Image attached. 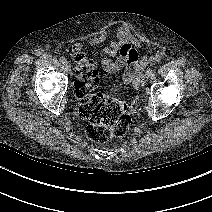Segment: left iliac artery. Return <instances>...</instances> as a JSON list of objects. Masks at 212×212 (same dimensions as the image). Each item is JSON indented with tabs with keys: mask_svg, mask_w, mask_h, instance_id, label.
Masks as SVG:
<instances>
[{
	"mask_svg": "<svg viewBox=\"0 0 212 212\" xmlns=\"http://www.w3.org/2000/svg\"><path fill=\"white\" fill-rule=\"evenodd\" d=\"M146 75H148L149 77L153 78L154 77V72L151 69H148L146 71Z\"/></svg>",
	"mask_w": 212,
	"mask_h": 212,
	"instance_id": "obj_1",
	"label": "left iliac artery"
}]
</instances>
